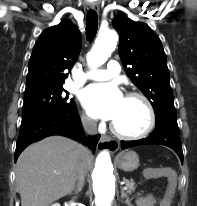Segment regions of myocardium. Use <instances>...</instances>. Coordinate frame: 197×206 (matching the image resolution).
I'll use <instances>...</instances> for the list:
<instances>
[{"mask_svg": "<svg viewBox=\"0 0 197 206\" xmlns=\"http://www.w3.org/2000/svg\"><path fill=\"white\" fill-rule=\"evenodd\" d=\"M125 98L139 99L144 104L148 115L147 125L142 131L138 133H125L120 131L112 122L110 125L112 133L122 139H140L146 137L153 130L156 123V114L150 99L139 92H128Z\"/></svg>", "mask_w": 197, "mask_h": 206, "instance_id": "myocardium-1", "label": "myocardium"}]
</instances>
